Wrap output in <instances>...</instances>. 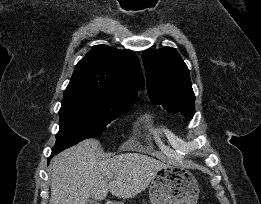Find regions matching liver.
<instances>
[{"instance_id": "6515ba94", "label": "liver", "mask_w": 261, "mask_h": 204, "mask_svg": "<svg viewBox=\"0 0 261 204\" xmlns=\"http://www.w3.org/2000/svg\"><path fill=\"white\" fill-rule=\"evenodd\" d=\"M101 152L99 141L86 139L57 155L52 163L49 204H86L89 198L102 201L109 191L119 198H132L167 166L140 153L101 159Z\"/></svg>"}]
</instances>
